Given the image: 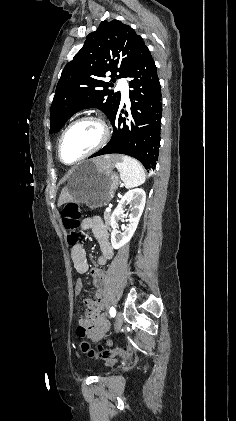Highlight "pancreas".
<instances>
[{
  "instance_id": "obj_1",
  "label": "pancreas",
  "mask_w": 236,
  "mask_h": 421,
  "mask_svg": "<svg viewBox=\"0 0 236 421\" xmlns=\"http://www.w3.org/2000/svg\"><path fill=\"white\" fill-rule=\"evenodd\" d=\"M105 225H110V213H104Z\"/></svg>"
}]
</instances>
